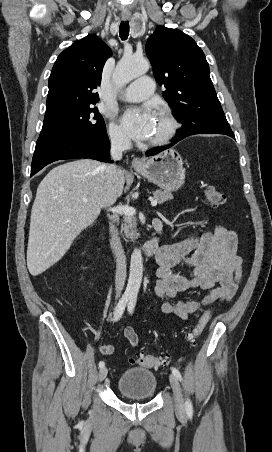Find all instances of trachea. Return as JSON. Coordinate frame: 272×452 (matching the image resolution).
I'll return each instance as SVG.
<instances>
[{"mask_svg":"<svg viewBox=\"0 0 272 452\" xmlns=\"http://www.w3.org/2000/svg\"><path fill=\"white\" fill-rule=\"evenodd\" d=\"M119 34H120V38L122 40H126L128 38V35H129V22L128 21H122L120 23Z\"/></svg>","mask_w":272,"mask_h":452,"instance_id":"trachea-1","label":"trachea"}]
</instances>
